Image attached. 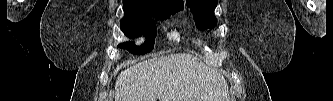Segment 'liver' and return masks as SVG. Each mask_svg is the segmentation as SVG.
<instances>
[{
    "label": "liver",
    "instance_id": "6515ba94",
    "mask_svg": "<svg viewBox=\"0 0 333 101\" xmlns=\"http://www.w3.org/2000/svg\"><path fill=\"white\" fill-rule=\"evenodd\" d=\"M225 78L189 54L142 61L122 71L115 101H229Z\"/></svg>",
    "mask_w": 333,
    "mask_h": 101
}]
</instances>
